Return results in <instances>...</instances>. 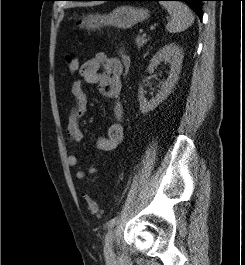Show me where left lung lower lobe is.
<instances>
[{
	"mask_svg": "<svg viewBox=\"0 0 245 265\" xmlns=\"http://www.w3.org/2000/svg\"><path fill=\"white\" fill-rule=\"evenodd\" d=\"M85 1H100V0H85ZM105 1H169V0H105ZM188 3L193 10L202 18V1L205 0H175Z\"/></svg>",
	"mask_w": 245,
	"mask_h": 265,
	"instance_id": "0a47b994",
	"label": "left lung lower lobe"
}]
</instances>
